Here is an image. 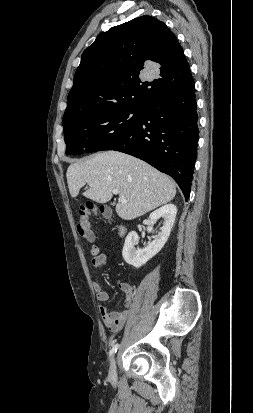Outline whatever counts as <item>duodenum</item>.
<instances>
[{
  "mask_svg": "<svg viewBox=\"0 0 253 413\" xmlns=\"http://www.w3.org/2000/svg\"><path fill=\"white\" fill-rule=\"evenodd\" d=\"M125 232V228L123 226L119 227V233L122 235Z\"/></svg>",
  "mask_w": 253,
  "mask_h": 413,
  "instance_id": "1",
  "label": "duodenum"
}]
</instances>
